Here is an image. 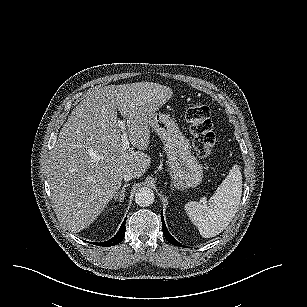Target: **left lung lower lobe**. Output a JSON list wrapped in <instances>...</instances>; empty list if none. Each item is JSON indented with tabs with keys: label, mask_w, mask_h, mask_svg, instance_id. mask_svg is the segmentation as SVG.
Returning <instances> with one entry per match:
<instances>
[{
	"label": "left lung lower lobe",
	"mask_w": 307,
	"mask_h": 307,
	"mask_svg": "<svg viewBox=\"0 0 307 307\" xmlns=\"http://www.w3.org/2000/svg\"><path fill=\"white\" fill-rule=\"evenodd\" d=\"M161 220H162V228H163V234L165 236V238L173 245L175 246H180L182 247V244H180L177 240H175L171 234L168 232L167 228H166V225H165V222H164V219H163V214L161 213Z\"/></svg>",
	"instance_id": "1"
}]
</instances>
